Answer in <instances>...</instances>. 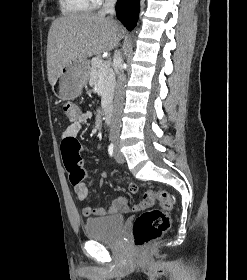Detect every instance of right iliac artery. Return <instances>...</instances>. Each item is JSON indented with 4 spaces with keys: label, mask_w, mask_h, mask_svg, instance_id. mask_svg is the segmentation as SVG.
Segmentation results:
<instances>
[{
    "label": "right iliac artery",
    "mask_w": 247,
    "mask_h": 280,
    "mask_svg": "<svg viewBox=\"0 0 247 280\" xmlns=\"http://www.w3.org/2000/svg\"><path fill=\"white\" fill-rule=\"evenodd\" d=\"M108 153H109V155H110L111 157L113 156V154H114V144H113V143H111V144L109 145Z\"/></svg>",
    "instance_id": "1"
}]
</instances>
